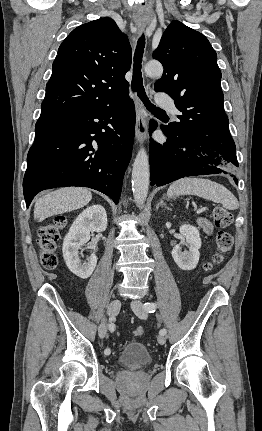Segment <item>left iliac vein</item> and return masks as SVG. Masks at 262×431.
I'll return each instance as SVG.
<instances>
[{
    "instance_id": "left-iliac-vein-1",
    "label": "left iliac vein",
    "mask_w": 262,
    "mask_h": 431,
    "mask_svg": "<svg viewBox=\"0 0 262 431\" xmlns=\"http://www.w3.org/2000/svg\"><path fill=\"white\" fill-rule=\"evenodd\" d=\"M131 308H132L133 312L136 314V316H138L139 318H141V319L147 318V311L145 310L142 301L133 300L131 302ZM157 340H158V343L160 345H163L166 343V337L163 334L158 335Z\"/></svg>"
}]
</instances>
